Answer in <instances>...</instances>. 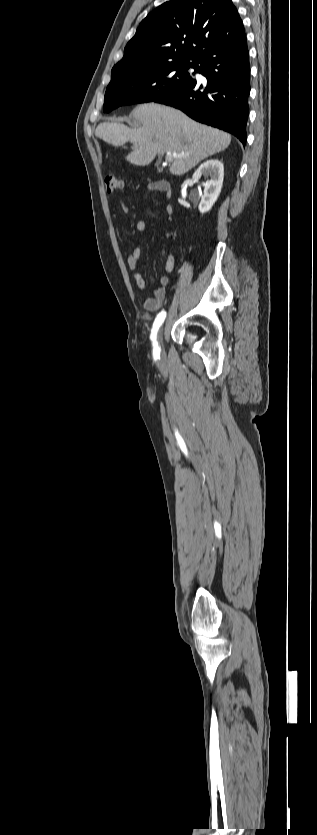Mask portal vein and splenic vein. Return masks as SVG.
<instances>
[{
    "instance_id": "18ae733b",
    "label": "portal vein and splenic vein",
    "mask_w": 317,
    "mask_h": 835,
    "mask_svg": "<svg viewBox=\"0 0 317 835\" xmlns=\"http://www.w3.org/2000/svg\"><path fill=\"white\" fill-rule=\"evenodd\" d=\"M182 156H183V155H179V157H182ZM175 157H176V155H175V154H172V153H167V154H166V158H165V160H166V162H169V161H171V160H172L173 158H175Z\"/></svg>"
}]
</instances>
